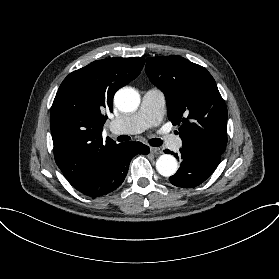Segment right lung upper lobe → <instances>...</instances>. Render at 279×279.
Returning a JSON list of instances; mask_svg holds the SVG:
<instances>
[{"instance_id": "obj_1", "label": "right lung upper lobe", "mask_w": 279, "mask_h": 279, "mask_svg": "<svg viewBox=\"0 0 279 279\" xmlns=\"http://www.w3.org/2000/svg\"><path fill=\"white\" fill-rule=\"evenodd\" d=\"M143 57L107 58L70 73L61 83L50 114L55 161L75 188H81L107 165L119 144L102 140L113 95L135 79Z\"/></svg>"}]
</instances>
